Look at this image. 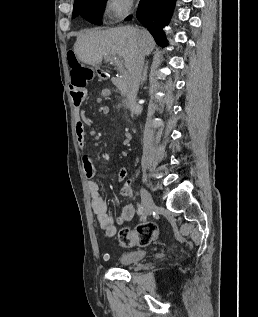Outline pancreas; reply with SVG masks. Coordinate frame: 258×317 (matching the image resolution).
<instances>
[{
	"label": "pancreas",
	"mask_w": 258,
	"mask_h": 317,
	"mask_svg": "<svg viewBox=\"0 0 258 317\" xmlns=\"http://www.w3.org/2000/svg\"><path fill=\"white\" fill-rule=\"evenodd\" d=\"M124 84H126V81H121L120 78H118L117 86H120V88H123Z\"/></svg>",
	"instance_id": "obj_1"
}]
</instances>
